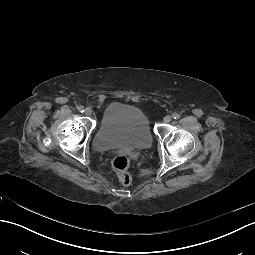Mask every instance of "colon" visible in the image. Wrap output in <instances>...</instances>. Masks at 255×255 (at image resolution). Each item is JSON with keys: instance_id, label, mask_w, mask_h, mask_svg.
I'll return each instance as SVG.
<instances>
[{"instance_id": "1", "label": "colon", "mask_w": 255, "mask_h": 255, "mask_svg": "<svg viewBox=\"0 0 255 255\" xmlns=\"http://www.w3.org/2000/svg\"><path fill=\"white\" fill-rule=\"evenodd\" d=\"M129 158L124 154L117 155L112 161V168L117 174L120 182L129 186L132 182V177L128 172Z\"/></svg>"}]
</instances>
